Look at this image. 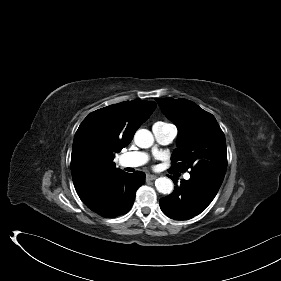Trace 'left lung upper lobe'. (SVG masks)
Wrapping results in <instances>:
<instances>
[{
    "label": "left lung upper lobe",
    "instance_id": "5c2ea615",
    "mask_svg": "<svg viewBox=\"0 0 281 281\" xmlns=\"http://www.w3.org/2000/svg\"><path fill=\"white\" fill-rule=\"evenodd\" d=\"M162 111L178 127V147L171 170L224 178L227 168L224 133L214 116L186 99L156 98Z\"/></svg>",
    "mask_w": 281,
    "mask_h": 281
}]
</instances>
